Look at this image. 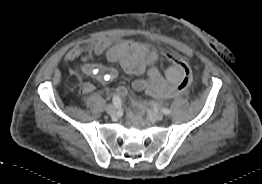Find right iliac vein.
Listing matches in <instances>:
<instances>
[{
    "instance_id": "right-iliac-vein-1",
    "label": "right iliac vein",
    "mask_w": 262,
    "mask_h": 184,
    "mask_svg": "<svg viewBox=\"0 0 262 184\" xmlns=\"http://www.w3.org/2000/svg\"><path fill=\"white\" fill-rule=\"evenodd\" d=\"M106 112L109 114V115H115L116 114V112H117V110H116V108H115V106H113V105H108L107 107H106Z\"/></svg>"
}]
</instances>
